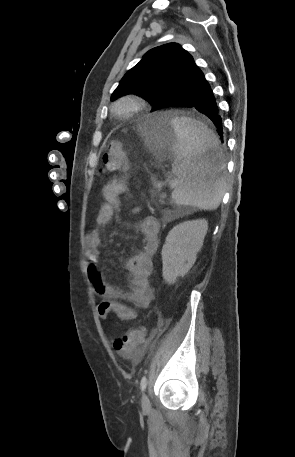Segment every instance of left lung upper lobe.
I'll list each match as a JSON object with an SVG mask.
<instances>
[{"label":"left lung upper lobe","mask_w":295,"mask_h":457,"mask_svg":"<svg viewBox=\"0 0 295 457\" xmlns=\"http://www.w3.org/2000/svg\"><path fill=\"white\" fill-rule=\"evenodd\" d=\"M195 65L193 57L180 44L153 48L124 75L111 98L136 94L158 110L162 102L190 85L187 76Z\"/></svg>","instance_id":"5c2ea615"}]
</instances>
